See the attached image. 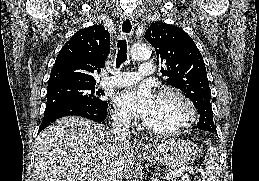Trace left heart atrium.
Segmentation results:
<instances>
[{"instance_id": "left-heart-atrium-1", "label": "left heart atrium", "mask_w": 259, "mask_h": 181, "mask_svg": "<svg viewBox=\"0 0 259 181\" xmlns=\"http://www.w3.org/2000/svg\"><path fill=\"white\" fill-rule=\"evenodd\" d=\"M156 97L147 87H130L113 96L114 105L123 113L147 121L155 107Z\"/></svg>"}]
</instances>
